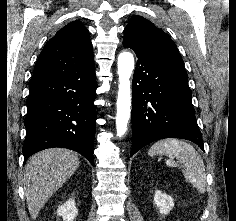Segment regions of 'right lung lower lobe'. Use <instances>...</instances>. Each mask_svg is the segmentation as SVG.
I'll list each match as a JSON object with an SVG mask.
<instances>
[{
	"label": "right lung lower lobe",
	"mask_w": 236,
	"mask_h": 221,
	"mask_svg": "<svg viewBox=\"0 0 236 221\" xmlns=\"http://www.w3.org/2000/svg\"><path fill=\"white\" fill-rule=\"evenodd\" d=\"M25 118L24 162L52 147L79 152L94 164L95 68L29 83Z\"/></svg>",
	"instance_id": "right-lung-lower-lobe-1"
}]
</instances>
